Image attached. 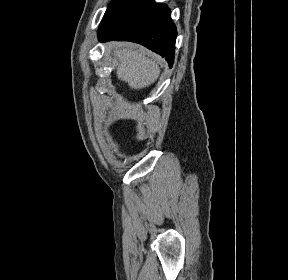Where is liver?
<instances>
[{"label": "liver", "instance_id": "obj_1", "mask_svg": "<svg viewBox=\"0 0 288 280\" xmlns=\"http://www.w3.org/2000/svg\"><path fill=\"white\" fill-rule=\"evenodd\" d=\"M113 54L118 59L117 77L128 83L130 88L142 89L158 79L159 66L146 56L143 49L126 44L116 47Z\"/></svg>", "mask_w": 288, "mask_h": 280}]
</instances>
